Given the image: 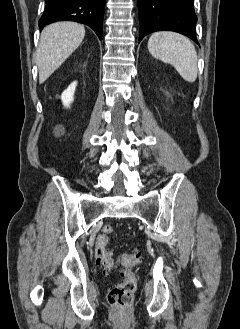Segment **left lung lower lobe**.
<instances>
[{
    "instance_id": "obj_1",
    "label": "left lung lower lobe",
    "mask_w": 240,
    "mask_h": 329,
    "mask_svg": "<svg viewBox=\"0 0 240 329\" xmlns=\"http://www.w3.org/2000/svg\"><path fill=\"white\" fill-rule=\"evenodd\" d=\"M138 13L139 42L152 32L165 30L181 33L199 44L194 0H138Z\"/></svg>"
}]
</instances>
